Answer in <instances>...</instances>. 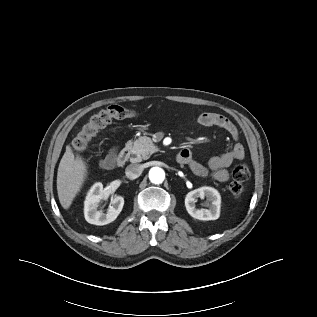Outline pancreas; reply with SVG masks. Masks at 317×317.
I'll return each instance as SVG.
<instances>
[{
    "label": "pancreas",
    "mask_w": 317,
    "mask_h": 317,
    "mask_svg": "<svg viewBox=\"0 0 317 317\" xmlns=\"http://www.w3.org/2000/svg\"><path fill=\"white\" fill-rule=\"evenodd\" d=\"M127 148L131 152V162L146 160L157 150L151 138L147 136H142L134 142L129 141Z\"/></svg>",
    "instance_id": "cf45deb5"
}]
</instances>
